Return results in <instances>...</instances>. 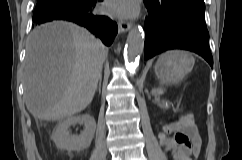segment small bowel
I'll return each instance as SVG.
<instances>
[{
    "label": "small bowel",
    "mask_w": 242,
    "mask_h": 160,
    "mask_svg": "<svg viewBox=\"0 0 242 160\" xmlns=\"http://www.w3.org/2000/svg\"><path fill=\"white\" fill-rule=\"evenodd\" d=\"M160 139L175 160H192V155L201 151L202 140L191 114L183 115L179 121L166 125ZM174 132L173 137L167 134Z\"/></svg>",
    "instance_id": "c3829d8e"
}]
</instances>
